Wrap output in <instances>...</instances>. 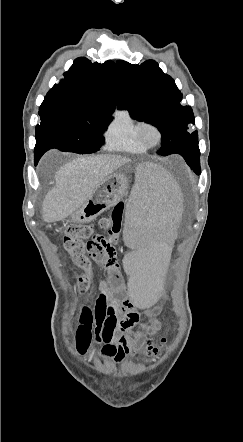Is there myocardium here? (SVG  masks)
<instances>
[{"instance_id":"obj_1","label":"myocardium","mask_w":243,"mask_h":442,"mask_svg":"<svg viewBox=\"0 0 243 442\" xmlns=\"http://www.w3.org/2000/svg\"><path fill=\"white\" fill-rule=\"evenodd\" d=\"M148 128H153L156 133H157V141L155 143H149L146 141L145 137H144V132L146 129ZM163 131L161 129V127L153 122V121H142L139 129H138V138L140 140V142L146 147V148H154L156 146H158L162 140H163Z\"/></svg>"}]
</instances>
